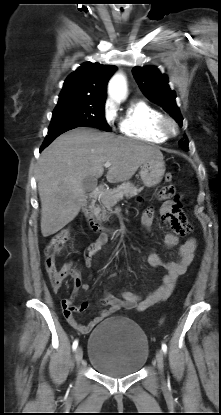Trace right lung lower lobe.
<instances>
[{
    "instance_id": "1",
    "label": "right lung lower lobe",
    "mask_w": 221,
    "mask_h": 415,
    "mask_svg": "<svg viewBox=\"0 0 221 415\" xmlns=\"http://www.w3.org/2000/svg\"><path fill=\"white\" fill-rule=\"evenodd\" d=\"M71 129H73V128L48 130V135L46 136V138H45V140H44V142H43V144L40 148V151H42L47 145H49L60 134L66 132L68 130H71Z\"/></svg>"
}]
</instances>
